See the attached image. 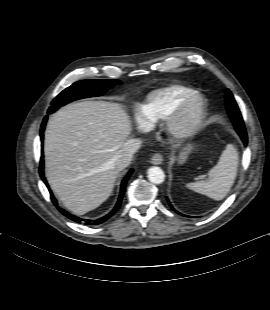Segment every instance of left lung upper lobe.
Returning a JSON list of instances; mask_svg holds the SVG:
<instances>
[{
  "label": "left lung upper lobe",
  "mask_w": 270,
  "mask_h": 310,
  "mask_svg": "<svg viewBox=\"0 0 270 310\" xmlns=\"http://www.w3.org/2000/svg\"><path fill=\"white\" fill-rule=\"evenodd\" d=\"M226 106H227L228 114L237 132L245 131V126H244V122H243L240 110L234 100L232 93L229 90L226 91Z\"/></svg>",
  "instance_id": "1"
}]
</instances>
